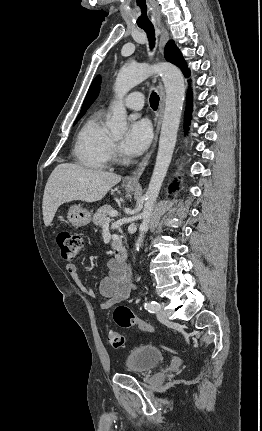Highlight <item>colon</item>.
Listing matches in <instances>:
<instances>
[{
  "instance_id": "1",
  "label": "colon",
  "mask_w": 262,
  "mask_h": 431,
  "mask_svg": "<svg viewBox=\"0 0 262 431\" xmlns=\"http://www.w3.org/2000/svg\"><path fill=\"white\" fill-rule=\"evenodd\" d=\"M57 244L63 260L72 262L82 252L85 241L80 234L64 230L58 233ZM113 318L121 327H137L141 331L148 333H153L155 331L151 324L139 319L132 310L125 305L116 307ZM108 340L115 348L122 347L125 343L123 336L116 331L109 332Z\"/></svg>"
}]
</instances>
